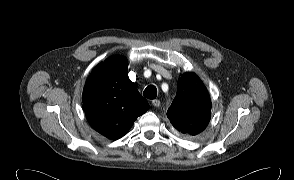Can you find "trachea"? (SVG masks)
Masks as SVG:
<instances>
[{"mask_svg":"<svg viewBox=\"0 0 294 180\" xmlns=\"http://www.w3.org/2000/svg\"><path fill=\"white\" fill-rule=\"evenodd\" d=\"M143 95L148 99H155L157 96V89L154 85H149L143 92Z\"/></svg>","mask_w":294,"mask_h":180,"instance_id":"obj_1","label":"trachea"}]
</instances>
